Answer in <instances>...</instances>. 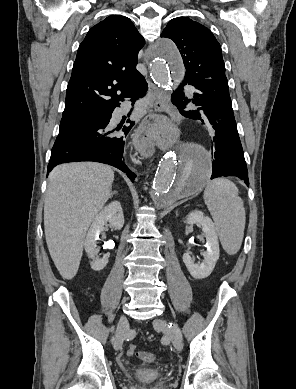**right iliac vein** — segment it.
Listing matches in <instances>:
<instances>
[{"label": "right iliac vein", "mask_w": 296, "mask_h": 389, "mask_svg": "<svg viewBox=\"0 0 296 389\" xmlns=\"http://www.w3.org/2000/svg\"><path fill=\"white\" fill-rule=\"evenodd\" d=\"M127 328H128V320L124 315H122L118 322L116 339L114 342V347L116 350L121 349Z\"/></svg>", "instance_id": "63e3f726"}]
</instances>
